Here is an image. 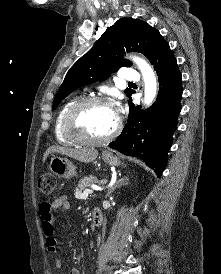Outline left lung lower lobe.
<instances>
[{
    "label": "left lung lower lobe",
    "mask_w": 221,
    "mask_h": 274,
    "mask_svg": "<svg viewBox=\"0 0 221 274\" xmlns=\"http://www.w3.org/2000/svg\"><path fill=\"white\" fill-rule=\"evenodd\" d=\"M149 61L158 75L157 99L147 111L130 103L127 124L109 147L125 155L141 158L159 176L165 169L172 135L177 129L182 81L177 61L167 42Z\"/></svg>",
    "instance_id": "left-lung-lower-lobe-1"
}]
</instances>
